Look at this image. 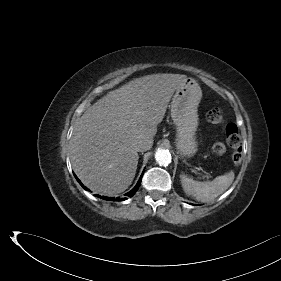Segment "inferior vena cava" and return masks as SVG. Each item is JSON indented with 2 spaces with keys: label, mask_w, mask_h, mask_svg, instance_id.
<instances>
[{
  "label": "inferior vena cava",
  "mask_w": 281,
  "mask_h": 281,
  "mask_svg": "<svg viewBox=\"0 0 281 281\" xmlns=\"http://www.w3.org/2000/svg\"><path fill=\"white\" fill-rule=\"evenodd\" d=\"M153 141L148 140V139H143V140H139L137 145H136V149L138 151H147L151 148Z\"/></svg>",
  "instance_id": "inferior-vena-cava-1"
}]
</instances>
